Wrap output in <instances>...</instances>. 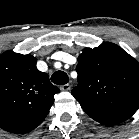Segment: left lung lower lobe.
Instances as JSON below:
<instances>
[{"label": "left lung lower lobe", "mask_w": 139, "mask_h": 139, "mask_svg": "<svg viewBox=\"0 0 139 139\" xmlns=\"http://www.w3.org/2000/svg\"><path fill=\"white\" fill-rule=\"evenodd\" d=\"M134 113L127 112V113H104V114H93L92 117L97 122L103 125H116L121 123L131 117Z\"/></svg>", "instance_id": "1"}]
</instances>
